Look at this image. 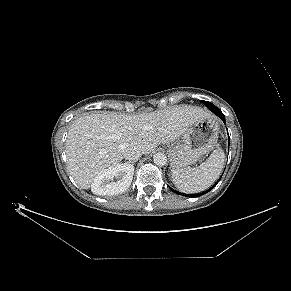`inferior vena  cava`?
<instances>
[{
	"label": "inferior vena cava",
	"mask_w": 291,
	"mask_h": 291,
	"mask_svg": "<svg viewBox=\"0 0 291 291\" xmlns=\"http://www.w3.org/2000/svg\"><path fill=\"white\" fill-rule=\"evenodd\" d=\"M141 156L142 151L136 146L128 147L124 151V158L130 162L137 161Z\"/></svg>",
	"instance_id": "1"
}]
</instances>
